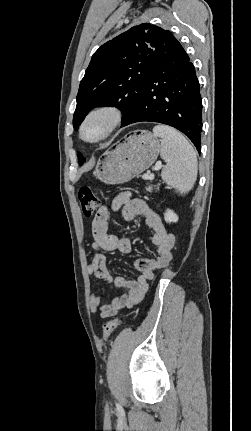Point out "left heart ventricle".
<instances>
[{
	"label": "left heart ventricle",
	"instance_id": "obj_1",
	"mask_svg": "<svg viewBox=\"0 0 251 431\" xmlns=\"http://www.w3.org/2000/svg\"><path fill=\"white\" fill-rule=\"evenodd\" d=\"M105 121L103 118H95L91 120L84 130V135L88 139L98 137L104 129Z\"/></svg>",
	"mask_w": 251,
	"mask_h": 431
}]
</instances>
